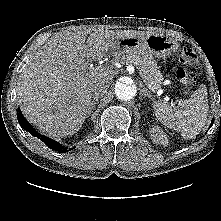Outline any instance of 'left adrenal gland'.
<instances>
[{"instance_id": "a2214340", "label": "left adrenal gland", "mask_w": 221, "mask_h": 221, "mask_svg": "<svg viewBox=\"0 0 221 221\" xmlns=\"http://www.w3.org/2000/svg\"><path fill=\"white\" fill-rule=\"evenodd\" d=\"M142 93L144 94V97H148L150 100L154 101V99L152 98V95H151L150 91H148L147 88H143V89H142Z\"/></svg>"}]
</instances>
